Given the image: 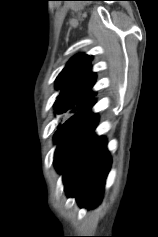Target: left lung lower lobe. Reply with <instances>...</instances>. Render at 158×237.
Listing matches in <instances>:
<instances>
[{"instance_id": "1", "label": "left lung lower lobe", "mask_w": 158, "mask_h": 237, "mask_svg": "<svg viewBox=\"0 0 158 237\" xmlns=\"http://www.w3.org/2000/svg\"><path fill=\"white\" fill-rule=\"evenodd\" d=\"M94 103L77 111L55 134V166L63 173L66 193L88 207L100 202L111 165L105 139L93 135L98 121L96 114L90 113Z\"/></svg>"}]
</instances>
